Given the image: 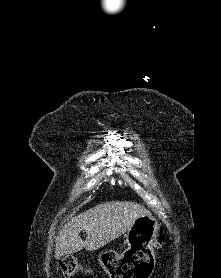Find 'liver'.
<instances>
[{"label": "liver", "instance_id": "liver-1", "mask_svg": "<svg viewBox=\"0 0 221 278\" xmlns=\"http://www.w3.org/2000/svg\"><path fill=\"white\" fill-rule=\"evenodd\" d=\"M150 212L144 206L129 201H111L96 205L72 219L56 238L55 256L81 251H95L125 234L134 221ZM86 232L83 241L80 232Z\"/></svg>", "mask_w": 221, "mask_h": 278}]
</instances>
